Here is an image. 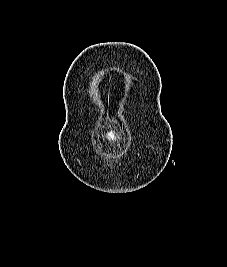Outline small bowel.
<instances>
[{"label":"small bowel","instance_id":"obj_1","mask_svg":"<svg viewBox=\"0 0 227 267\" xmlns=\"http://www.w3.org/2000/svg\"><path fill=\"white\" fill-rule=\"evenodd\" d=\"M118 138H119V137H118V135H117L115 132H112V131H111V132L109 133V139H110V140L114 141V140H118Z\"/></svg>","mask_w":227,"mask_h":267}]
</instances>
